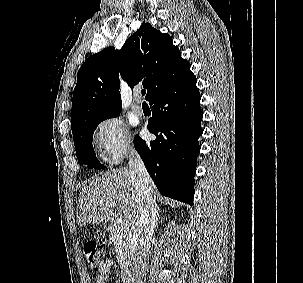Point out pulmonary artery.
Returning a JSON list of instances; mask_svg holds the SVG:
<instances>
[{
  "instance_id": "pulmonary-artery-1",
  "label": "pulmonary artery",
  "mask_w": 303,
  "mask_h": 283,
  "mask_svg": "<svg viewBox=\"0 0 303 283\" xmlns=\"http://www.w3.org/2000/svg\"><path fill=\"white\" fill-rule=\"evenodd\" d=\"M132 110L138 116L143 115L144 111H143V107L140 103V93L139 92H137L135 94V104L133 105Z\"/></svg>"
}]
</instances>
